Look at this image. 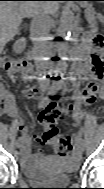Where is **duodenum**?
Wrapping results in <instances>:
<instances>
[{"label":"duodenum","mask_w":104,"mask_h":189,"mask_svg":"<svg viewBox=\"0 0 104 189\" xmlns=\"http://www.w3.org/2000/svg\"><path fill=\"white\" fill-rule=\"evenodd\" d=\"M75 54L78 56L79 60H81V61L90 60V57L84 48L78 47L75 51ZM32 58H33L32 54L30 52H28V59H32ZM27 64H28L29 68L32 70V72L35 73L33 67L29 63H27Z\"/></svg>","instance_id":"duodenum-1"}]
</instances>
